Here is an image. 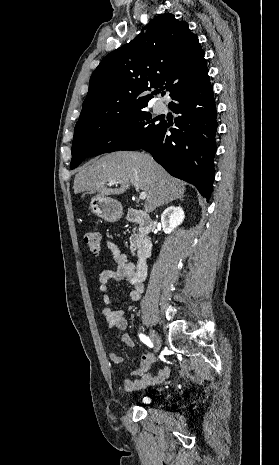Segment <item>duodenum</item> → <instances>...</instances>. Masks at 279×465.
<instances>
[{"label":"duodenum","mask_w":279,"mask_h":465,"mask_svg":"<svg viewBox=\"0 0 279 465\" xmlns=\"http://www.w3.org/2000/svg\"><path fill=\"white\" fill-rule=\"evenodd\" d=\"M126 218L129 222L138 224L141 231V241L137 249L138 262L132 276L133 283H141L147 274V259L152 253L153 243L149 233L153 223L148 214L139 210L129 211Z\"/></svg>","instance_id":"obj_1"}]
</instances>
